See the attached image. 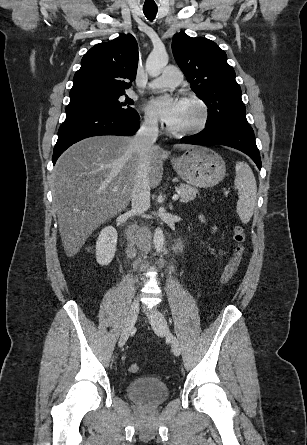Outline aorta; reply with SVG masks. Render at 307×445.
Listing matches in <instances>:
<instances>
[{
    "mask_svg": "<svg viewBox=\"0 0 307 445\" xmlns=\"http://www.w3.org/2000/svg\"><path fill=\"white\" fill-rule=\"evenodd\" d=\"M169 56L165 46H157L150 52L145 68L150 76H159L164 66L168 64ZM154 249L156 253H162L164 247V233L160 227L155 229L154 237Z\"/></svg>",
    "mask_w": 307,
    "mask_h": 445,
    "instance_id": "aorta-1",
    "label": "aorta"
}]
</instances>
